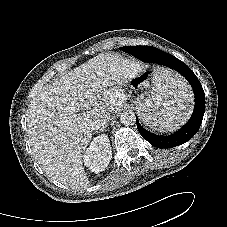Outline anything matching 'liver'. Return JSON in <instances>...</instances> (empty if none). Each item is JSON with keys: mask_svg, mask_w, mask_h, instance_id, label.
Returning <instances> with one entry per match:
<instances>
[{"mask_svg": "<svg viewBox=\"0 0 227 227\" xmlns=\"http://www.w3.org/2000/svg\"><path fill=\"white\" fill-rule=\"evenodd\" d=\"M134 75L130 60L99 54L36 93L27 110V137L48 177L75 190L90 186L83 154L93 132L100 130L97 121L122 104L123 93L114 94L111 88Z\"/></svg>", "mask_w": 227, "mask_h": 227, "instance_id": "1", "label": "liver"}]
</instances>
